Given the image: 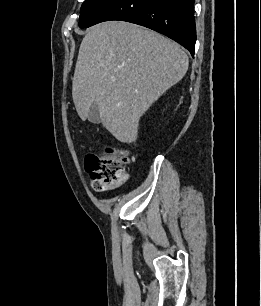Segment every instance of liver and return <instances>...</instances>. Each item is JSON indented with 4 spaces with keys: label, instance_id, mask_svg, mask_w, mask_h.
I'll use <instances>...</instances> for the list:
<instances>
[{
    "label": "liver",
    "instance_id": "obj_1",
    "mask_svg": "<svg viewBox=\"0 0 261 306\" xmlns=\"http://www.w3.org/2000/svg\"><path fill=\"white\" fill-rule=\"evenodd\" d=\"M189 59L177 43L124 21L90 28L76 62L72 98L86 120L97 103L103 126L120 142L137 140L141 116L188 70Z\"/></svg>",
    "mask_w": 261,
    "mask_h": 306
}]
</instances>
